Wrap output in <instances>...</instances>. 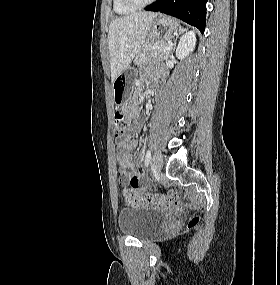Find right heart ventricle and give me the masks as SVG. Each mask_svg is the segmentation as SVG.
<instances>
[{
    "mask_svg": "<svg viewBox=\"0 0 280 285\" xmlns=\"http://www.w3.org/2000/svg\"><path fill=\"white\" fill-rule=\"evenodd\" d=\"M113 10L116 14L127 15L134 12L136 9L128 7L123 0H113Z\"/></svg>",
    "mask_w": 280,
    "mask_h": 285,
    "instance_id": "obj_1",
    "label": "right heart ventricle"
}]
</instances>
